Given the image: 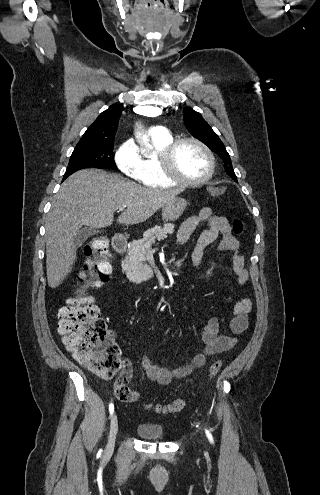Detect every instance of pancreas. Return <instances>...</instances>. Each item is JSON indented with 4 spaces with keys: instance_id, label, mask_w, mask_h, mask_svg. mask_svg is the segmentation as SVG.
I'll return each instance as SVG.
<instances>
[{
    "instance_id": "pancreas-1",
    "label": "pancreas",
    "mask_w": 320,
    "mask_h": 495,
    "mask_svg": "<svg viewBox=\"0 0 320 495\" xmlns=\"http://www.w3.org/2000/svg\"><path fill=\"white\" fill-rule=\"evenodd\" d=\"M174 227L172 223L155 226L147 230L142 239L129 243L127 256L122 260L121 266L123 273L126 274L130 282L140 283L143 280L141 272L148 268L145 264L147 250L151 248L156 240H163L167 237V234H172Z\"/></svg>"
}]
</instances>
